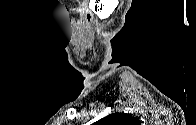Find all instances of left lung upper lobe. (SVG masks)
<instances>
[{
  "mask_svg": "<svg viewBox=\"0 0 196 125\" xmlns=\"http://www.w3.org/2000/svg\"><path fill=\"white\" fill-rule=\"evenodd\" d=\"M96 123L98 125H134L138 121L125 113H114L100 119Z\"/></svg>",
  "mask_w": 196,
  "mask_h": 125,
  "instance_id": "1",
  "label": "left lung upper lobe"
}]
</instances>
